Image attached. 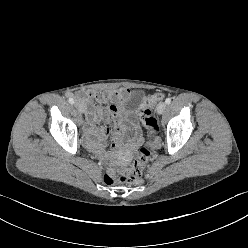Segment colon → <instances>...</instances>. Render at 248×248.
<instances>
[{
    "label": "colon",
    "instance_id": "colon-1",
    "mask_svg": "<svg viewBox=\"0 0 248 248\" xmlns=\"http://www.w3.org/2000/svg\"><path fill=\"white\" fill-rule=\"evenodd\" d=\"M164 97L161 93H155L153 95L144 98L142 105L140 107V118L146 127V129L151 133L155 134L158 131L157 120L155 119L152 108L162 100ZM151 149L148 146H144L140 149V154L133 164L125 170L117 172L115 170H109L104 175V183L107 185L114 184L116 182H122L126 184H134L140 181L143 174L145 166L150 158Z\"/></svg>",
    "mask_w": 248,
    "mask_h": 248
}]
</instances>
